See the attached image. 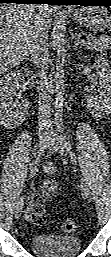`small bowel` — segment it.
Masks as SVG:
<instances>
[{
  "label": "small bowel",
  "mask_w": 111,
  "mask_h": 257,
  "mask_svg": "<svg viewBox=\"0 0 111 257\" xmlns=\"http://www.w3.org/2000/svg\"><path fill=\"white\" fill-rule=\"evenodd\" d=\"M55 172V167L52 163L47 162L43 167V179H42V191L47 199H52L58 193L60 188V183L49 178ZM26 219L33 224L40 225L45 220L44 206L39 198V196L34 193L32 200L30 201L28 208L26 210Z\"/></svg>",
  "instance_id": "obj_1"
}]
</instances>
